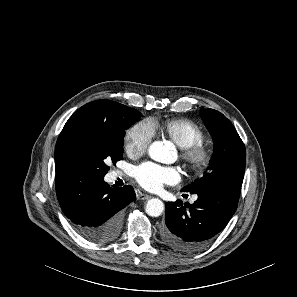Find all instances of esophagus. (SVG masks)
Returning <instances> with one entry per match:
<instances>
[{"instance_id": "esophagus-1", "label": "esophagus", "mask_w": 297, "mask_h": 297, "mask_svg": "<svg viewBox=\"0 0 297 297\" xmlns=\"http://www.w3.org/2000/svg\"><path fill=\"white\" fill-rule=\"evenodd\" d=\"M136 198H137L138 200H147V199L151 198V196L148 195V194L142 193V192H138V193L136 194Z\"/></svg>"}]
</instances>
